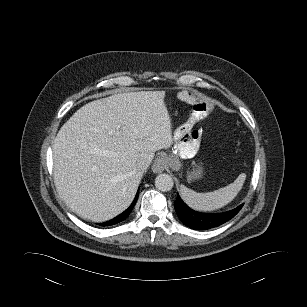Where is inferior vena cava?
Here are the masks:
<instances>
[{"label":"inferior vena cava","instance_id":"obj_1","mask_svg":"<svg viewBox=\"0 0 307 307\" xmlns=\"http://www.w3.org/2000/svg\"><path fill=\"white\" fill-rule=\"evenodd\" d=\"M136 167L137 170L143 174V172L148 168V164L145 161H140Z\"/></svg>","mask_w":307,"mask_h":307}]
</instances>
